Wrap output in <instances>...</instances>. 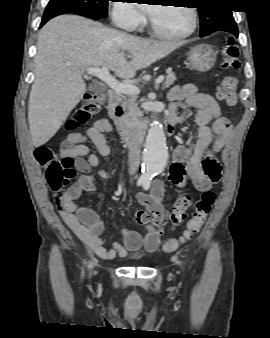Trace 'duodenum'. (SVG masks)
<instances>
[{"instance_id": "obj_1", "label": "duodenum", "mask_w": 270, "mask_h": 338, "mask_svg": "<svg viewBox=\"0 0 270 338\" xmlns=\"http://www.w3.org/2000/svg\"><path fill=\"white\" fill-rule=\"evenodd\" d=\"M120 96L119 94L114 90L108 91V110L110 113L116 117L117 119V125L121 132V134L126 138L128 135H130L131 130L128 124L125 122L123 116H124V110L120 104ZM161 123L163 125V129L171 134L173 133L174 125L169 117H161ZM148 128L147 124H143L140 127L136 128V139L138 142H141L142 139V133Z\"/></svg>"}]
</instances>
